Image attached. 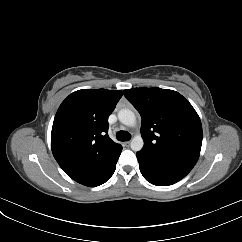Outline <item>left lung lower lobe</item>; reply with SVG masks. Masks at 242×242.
<instances>
[{
	"mask_svg": "<svg viewBox=\"0 0 242 242\" xmlns=\"http://www.w3.org/2000/svg\"><path fill=\"white\" fill-rule=\"evenodd\" d=\"M140 172L153 185L167 186L184 178L192 168L161 160L140 151L137 153Z\"/></svg>",
	"mask_w": 242,
	"mask_h": 242,
	"instance_id": "obj_1",
	"label": "left lung lower lobe"
}]
</instances>
